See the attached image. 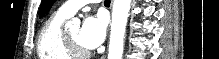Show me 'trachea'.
Segmentation results:
<instances>
[{
	"mask_svg": "<svg viewBox=\"0 0 219 59\" xmlns=\"http://www.w3.org/2000/svg\"><path fill=\"white\" fill-rule=\"evenodd\" d=\"M104 3H110V0H105Z\"/></svg>",
	"mask_w": 219,
	"mask_h": 59,
	"instance_id": "obj_1",
	"label": "trachea"
}]
</instances>
